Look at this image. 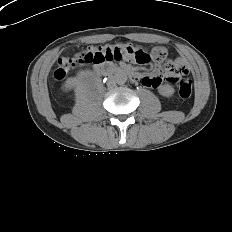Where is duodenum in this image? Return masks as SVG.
Listing matches in <instances>:
<instances>
[{
	"label": "duodenum",
	"instance_id": "duodenum-1",
	"mask_svg": "<svg viewBox=\"0 0 232 232\" xmlns=\"http://www.w3.org/2000/svg\"><path fill=\"white\" fill-rule=\"evenodd\" d=\"M94 73L98 77H102L109 73H115V74H124L129 76L133 81H137L139 76L136 72L132 71L131 69L125 68V67H117L112 68L109 65H102V66H95L94 67Z\"/></svg>",
	"mask_w": 232,
	"mask_h": 232
}]
</instances>
